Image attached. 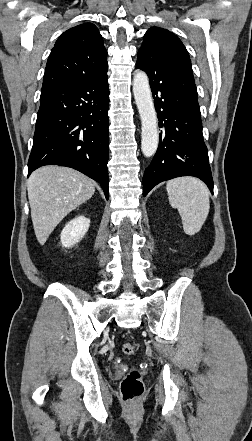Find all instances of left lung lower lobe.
<instances>
[{
    "label": "left lung lower lobe",
    "mask_w": 252,
    "mask_h": 441,
    "mask_svg": "<svg viewBox=\"0 0 252 441\" xmlns=\"http://www.w3.org/2000/svg\"><path fill=\"white\" fill-rule=\"evenodd\" d=\"M136 68L150 82L160 134L159 147L143 176V196L158 183L195 176L213 193L208 150L203 140L200 107L191 64L174 54L140 57Z\"/></svg>",
    "instance_id": "obj_1"
}]
</instances>
